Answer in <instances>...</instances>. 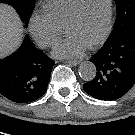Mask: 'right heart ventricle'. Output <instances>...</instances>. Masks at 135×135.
<instances>
[{"instance_id": "obj_1", "label": "right heart ventricle", "mask_w": 135, "mask_h": 135, "mask_svg": "<svg viewBox=\"0 0 135 135\" xmlns=\"http://www.w3.org/2000/svg\"><path fill=\"white\" fill-rule=\"evenodd\" d=\"M77 0H46L43 10L59 27L63 26Z\"/></svg>"}]
</instances>
